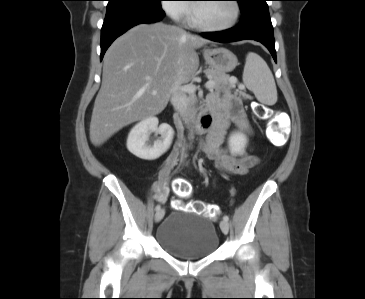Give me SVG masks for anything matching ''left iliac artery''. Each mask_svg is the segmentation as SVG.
I'll return each instance as SVG.
<instances>
[{
    "instance_id": "obj_1",
    "label": "left iliac artery",
    "mask_w": 365,
    "mask_h": 299,
    "mask_svg": "<svg viewBox=\"0 0 365 299\" xmlns=\"http://www.w3.org/2000/svg\"><path fill=\"white\" fill-rule=\"evenodd\" d=\"M223 220H225V221L228 222L229 221V217L227 215H224Z\"/></svg>"
}]
</instances>
